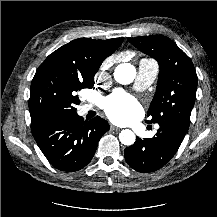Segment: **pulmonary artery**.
Listing matches in <instances>:
<instances>
[{
  "mask_svg": "<svg viewBox=\"0 0 217 217\" xmlns=\"http://www.w3.org/2000/svg\"><path fill=\"white\" fill-rule=\"evenodd\" d=\"M158 74V65L156 62L148 59H142L138 65V73L135 80V88L138 90L145 89L150 86L156 79ZM92 109V105L85 104L81 107L80 111L82 114ZM159 126L155 127V132Z\"/></svg>",
  "mask_w": 217,
  "mask_h": 217,
  "instance_id": "1",
  "label": "pulmonary artery"
}]
</instances>
